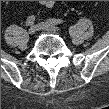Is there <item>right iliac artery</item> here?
<instances>
[{
    "label": "right iliac artery",
    "instance_id": "1",
    "mask_svg": "<svg viewBox=\"0 0 109 109\" xmlns=\"http://www.w3.org/2000/svg\"><path fill=\"white\" fill-rule=\"evenodd\" d=\"M34 22H35V16L31 15V16H29V17L27 18V20H26V25H27V26H31V25L34 24Z\"/></svg>",
    "mask_w": 109,
    "mask_h": 109
}]
</instances>
